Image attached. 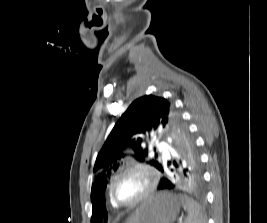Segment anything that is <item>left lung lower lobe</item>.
<instances>
[{"instance_id": "left-lung-lower-lobe-1", "label": "left lung lower lobe", "mask_w": 267, "mask_h": 223, "mask_svg": "<svg viewBox=\"0 0 267 223\" xmlns=\"http://www.w3.org/2000/svg\"><path fill=\"white\" fill-rule=\"evenodd\" d=\"M203 171H170L159 173L162 183L158 186L161 192H176L177 189H199Z\"/></svg>"}]
</instances>
